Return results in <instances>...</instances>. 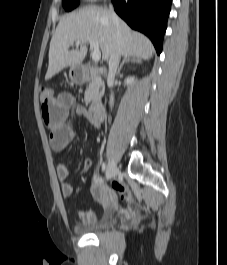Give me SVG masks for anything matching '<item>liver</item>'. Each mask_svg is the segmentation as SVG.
<instances>
[{
    "label": "liver",
    "instance_id": "6515ba94",
    "mask_svg": "<svg viewBox=\"0 0 227 265\" xmlns=\"http://www.w3.org/2000/svg\"><path fill=\"white\" fill-rule=\"evenodd\" d=\"M116 24L110 10L99 7H85L79 11L64 15L52 36L49 48V64L45 80L52 78L65 67L81 65L87 55L86 43L97 41L103 60H108L115 51ZM122 34L121 55L149 59L154 51L152 43L141 33L133 31L119 19ZM77 40H81L80 49L69 50Z\"/></svg>",
    "mask_w": 227,
    "mask_h": 265
}]
</instances>
